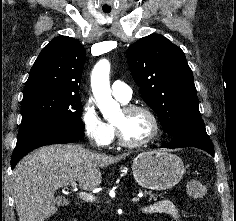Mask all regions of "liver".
I'll use <instances>...</instances> for the list:
<instances>
[{
    "label": "liver",
    "mask_w": 236,
    "mask_h": 221,
    "mask_svg": "<svg viewBox=\"0 0 236 221\" xmlns=\"http://www.w3.org/2000/svg\"><path fill=\"white\" fill-rule=\"evenodd\" d=\"M127 154L108 156L79 145H51L24 157L13 171V195L19 221H44L57 212L55 192L78 181L93 190L102 181L100 167L114 164Z\"/></svg>",
    "instance_id": "liver-1"
}]
</instances>
